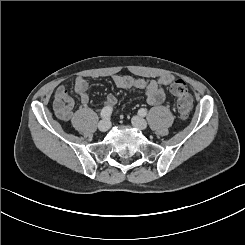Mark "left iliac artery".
Returning <instances> with one entry per match:
<instances>
[{
	"label": "left iliac artery",
	"mask_w": 245,
	"mask_h": 245,
	"mask_svg": "<svg viewBox=\"0 0 245 245\" xmlns=\"http://www.w3.org/2000/svg\"><path fill=\"white\" fill-rule=\"evenodd\" d=\"M138 113H139L141 116H146V115H147V110L144 109V108H141V109H139Z\"/></svg>",
	"instance_id": "left-iliac-artery-1"
}]
</instances>
